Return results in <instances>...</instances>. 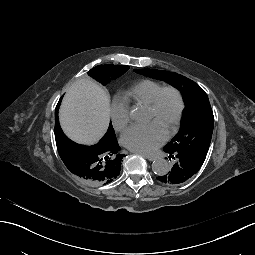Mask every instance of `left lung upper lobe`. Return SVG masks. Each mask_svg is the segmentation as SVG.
<instances>
[{"instance_id": "5c2ea615", "label": "left lung upper lobe", "mask_w": 255, "mask_h": 255, "mask_svg": "<svg viewBox=\"0 0 255 255\" xmlns=\"http://www.w3.org/2000/svg\"><path fill=\"white\" fill-rule=\"evenodd\" d=\"M134 72L163 80L182 93L186 104L182 126L167 145L170 150L176 151L172 156L182 153L199 170L210 146L214 124L207 94L194 81L174 72L154 69H135ZM167 151L164 150L166 153ZM169 159L171 160V156Z\"/></svg>"}]
</instances>
